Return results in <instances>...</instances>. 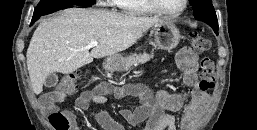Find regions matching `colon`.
<instances>
[{
	"mask_svg": "<svg viewBox=\"0 0 257 130\" xmlns=\"http://www.w3.org/2000/svg\"><path fill=\"white\" fill-rule=\"evenodd\" d=\"M191 45L196 52H204L209 48V41L199 33L190 36ZM199 88L203 92L210 91L215 85V68L213 61L203 57L200 61ZM81 79L80 73H72L63 77L56 87V92L72 94L77 91ZM49 121L55 130H70V118L64 112L56 111L50 114Z\"/></svg>",
	"mask_w": 257,
	"mask_h": 130,
	"instance_id": "1",
	"label": "colon"
}]
</instances>
